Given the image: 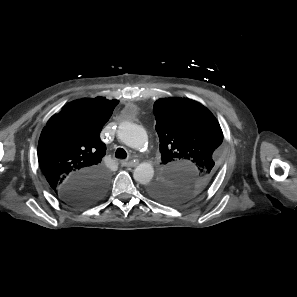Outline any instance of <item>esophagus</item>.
<instances>
[{
	"label": "esophagus",
	"mask_w": 297,
	"mask_h": 297,
	"mask_svg": "<svg viewBox=\"0 0 297 297\" xmlns=\"http://www.w3.org/2000/svg\"><path fill=\"white\" fill-rule=\"evenodd\" d=\"M137 162H135V161H128V160H122L121 161V165L122 166H125V167H135V166H137Z\"/></svg>",
	"instance_id": "esophagus-1"
}]
</instances>
